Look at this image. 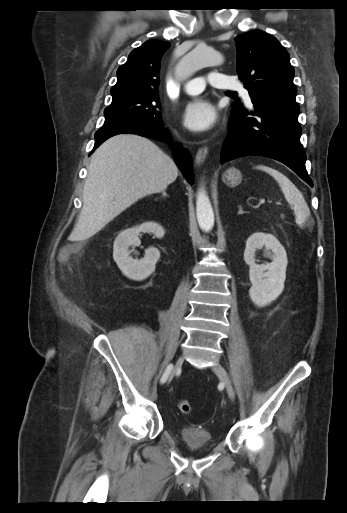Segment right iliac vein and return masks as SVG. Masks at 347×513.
I'll return each instance as SVG.
<instances>
[{"label":"right iliac vein","mask_w":347,"mask_h":513,"mask_svg":"<svg viewBox=\"0 0 347 513\" xmlns=\"http://www.w3.org/2000/svg\"><path fill=\"white\" fill-rule=\"evenodd\" d=\"M183 361H184V359H183V357H182V356H180V357L177 359L176 364H175V366H174V368H173V370H172V374H171L170 380L174 377V375H175V374L177 373V371L180 369V367H181V366H182V364H183Z\"/></svg>","instance_id":"63e3f726"}]
</instances>
